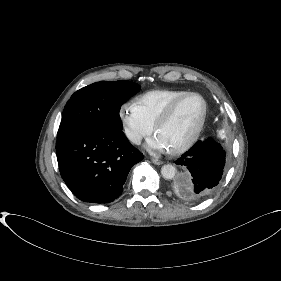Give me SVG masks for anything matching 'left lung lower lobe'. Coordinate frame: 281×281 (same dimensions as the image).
Instances as JSON below:
<instances>
[{
	"mask_svg": "<svg viewBox=\"0 0 281 281\" xmlns=\"http://www.w3.org/2000/svg\"><path fill=\"white\" fill-rule=\"evenodd\" d=\"M225 155L220 144L208 138L198 141L176 161L190 172L180 187L187 200L198 202L215 193L224 173Z\"/></svg>",
	"mask_w": 281,
	"mask_h": 281,
	"instance_id": "0a47b994",
	"label": "left lung lower lobe"
}]
</instances>
